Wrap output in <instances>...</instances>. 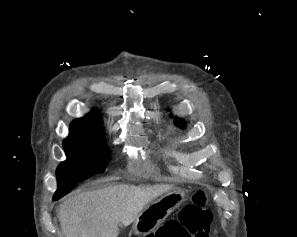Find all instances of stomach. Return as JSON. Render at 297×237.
Returning a JSON list of instances; mask_svg holds the SVG:
<instances>
[{
  "instance_id": "0dacf381",
  "label": "stomach",
  "mask_w": 297,
  "mask_h": 237,
  "mask_svg": "<svg viewBox=\"0 0 297 237\" xmlns=\"http://www.w3.org/2000/svg\"><path fill=\"white\" fill-rule=\"evenodd\" d=\"M185 197L181 189H173L158 200L148 204L138 214L132 230L138 236H148L183 202Z\"/></svg>"
}]
</instances>
